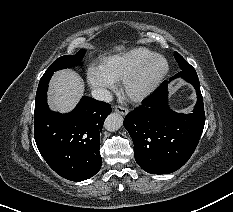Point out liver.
Listing matches in <instances>:
<instances>
[{
  "label": "liver",
  "instance_id": "6515ba94",
  "mask_svg": "<svg viewBox=\"0 0 233 212\" xmlns=\"http://www.w3.org/2000/svg\"><path fill=\"white\" fill-rule=\"evenodd\" d=\"M124 45L113 47V51H122ZM84 91L81 77L73 70H60L54 74L49 84L48 104L54 111L67 113L71 111Z\"/></svg>",
  "mask_w": 233,
  "mask_h": 212
}]
</instances>
